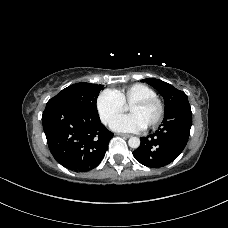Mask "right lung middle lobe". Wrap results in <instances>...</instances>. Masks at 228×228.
<instances>
[{
  "mask_svg": "<svg viewBox=\"0 0 228 228\" xmlns=\"http://www.w3.org/2000/svg\"><path fill=\"white\" fill-rule=\"evenodd\" d=\"M103 85L80 82L60 91L48 102H63L77 106L90 113L98 114L96 101Z\"/></svg>",
  "mask_w": 228,
  "mask_h": 228,
  "instance_id": "dd1d6c3e",
  "label": "right lung middle lobe"
}]
</instances>
